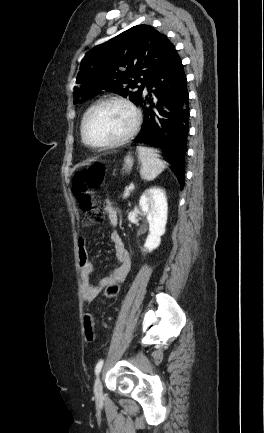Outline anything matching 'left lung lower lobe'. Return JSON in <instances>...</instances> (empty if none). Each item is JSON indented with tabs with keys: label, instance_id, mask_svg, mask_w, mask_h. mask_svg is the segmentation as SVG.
Instances as JSON below:
<instances>
[{
	"label": "left lung lower lobe",
	"instance_id": "left-lung-lower-lobe-1",
	"mask_svg": "<svg viewBox=\"0 0 264 433\" xmlns=\"http://www.w3.org/2000/svg\"><path fill=\"white\" fill-rule=\"evenodd\" d=\"M147 86L149 94L143 93L137 103L143 109L144 121L134 142L161 149L183 187L189 131V93L184 68L176 50L170 52L162 68Z\"/></svg>",
	"mask_w": 264,
	"mask_h": 433
}]
</instances>
